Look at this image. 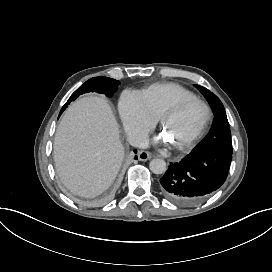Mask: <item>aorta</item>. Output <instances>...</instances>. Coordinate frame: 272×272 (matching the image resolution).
Wrapping results in <instances>:
<instances>
[{
	"label": "aorta",
	"instance_id": "aorta-1",
	"mask_svg": "<svg viewBox=\"0 0 272 272\" xmlns=\"http://www.w3.org/2000/svg\"><path fill=\"white\" fill-rule=\"evenodd\" d=\"M149 168L154 174L157 175L163 174L167 170L166 162L163 159L159 158L153 159L149 164Z\"/></svg>",
	"mask_w": 272,
	"mask_h": 272
}]
</instances>
